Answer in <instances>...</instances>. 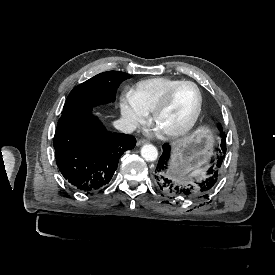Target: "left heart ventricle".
Segmentation results:
<instances>
[{"mask_svg":"<svg viewBox=\"0 0 275 275\" xmlns=\"http://www.w3.org/2000/svg\"><path fill=\"white\" fill-rule=\"evenodd\" d=\"M198 102L196 89L191 84H182L178 86L167 106L161 112L156 121V129L164 133L182 127L193 115Z\"/></svg>","mask_w":275,"mask_h":275,"instance_id":"left-heart-ventricle-1","label":"left heart ventricle"}]
</instances>
